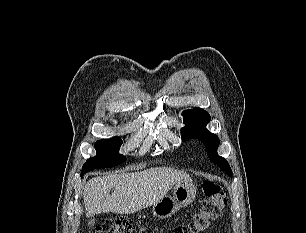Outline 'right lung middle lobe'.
Returning a JSON list of instances; mask_svg holds the SVG:
<instances>
[{
  "instance_id": "1",
  "label": "right lung middle lobe",
  "mask_w": 306,
  "mask_h": 233,
  "mask_svg": "<svg viewBox=\"0 0 306 233\" xmlns=\"http://www.w3.org/2000/svg\"><path fill=\"white\" fill-rule=\"evenodd\" d=\"M121 144L122 139L119 137L97 141L95 143L97 155L89 158L83 165L81 177L92 169L113 167L122 163L125 160V156L118 154Z\"/></svg>"
}]
</instances>
